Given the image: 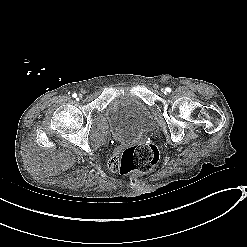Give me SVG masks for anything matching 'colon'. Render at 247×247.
I'll return each mask as SVG.
<instances>
[{"mask_svg": "<svg viewBox=\"0 0 247 247\" xmlns=\"http://www.w3.org/2000/svg\"><path fill=\"white\" fill-rule=\"evenodd\" d=\"M159 158V150L154 144L142 143L135 145L121 153V166L118 172L149 171L158 163Z\"/></svg>", "mask_w": 247, "mask_h": 247, "instance_id": "colon-1", "label": "colon"}]
</instances>
